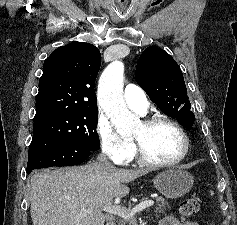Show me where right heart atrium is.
Segmentation results:
<instances>
[{"label":"right heart atrium","mask_w":237,"mask_h":225,"mask_svg":"<svg viewBox=\"0 0 237 225\" xmlns=\"http://www.w3.org/2000/svg\"><path fill=\"white\" fill-rule=\"evenodd\" d=\"M96 133L102 152L115 164H126L134 155V147L128 139L121 137L111 122L100 117L96 124Z\"/></svg>","instance_id":"d8ad5b80"}]
</instances>
